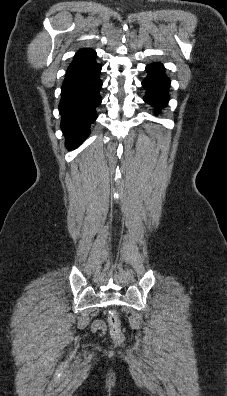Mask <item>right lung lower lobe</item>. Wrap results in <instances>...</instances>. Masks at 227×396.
<instances>
[{"instance_id": "obj_1", "label": "right lung lower lobe", "mask_w": 227, "mask_h": 396, "mask_svg": "<svg viewBox=\"0 0 227 396\" xmlns=\"http://www.w3.org/2000/svg\"><path fill=\"white\" fill-rule=\"evenodd\" d=\"M92 49H81L69 65L62 85L59 113L68 150L78 147L90 133L101 103V66Z\"/></svg>"}]
</instances>
